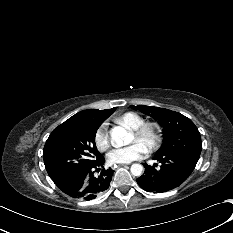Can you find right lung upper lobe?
Instances as JSON below:
<instances>
[{"instance_id":"right-lung-upper-lobe-1","label":"right lung upper lobe","mask_w":233,"mask_h":233,"mask_svg":"<svg viewBox=\"0 0 233 233\" xmlns=\"http://www.w3.org/2000/svg\"><path fill=\"white\" fill-rule=\"evenodd\" d=\"M110 109H105V110H97V109H88V110H83L78 112L77 114L73 115L71 118L66 120L64 123H62L59 126H64L68 124H73V123H80L83 122L87 119L104 115L109 112Z\"/></svg>"}]
</instances>
